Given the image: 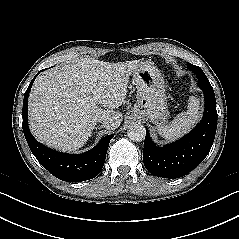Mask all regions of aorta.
Instances as JSON below:
<instances>
[{
  "label": "aorta",
  "instance_id": "762f6f07",
  "mask_svg": "<svg viewBox=\"0 0 239 239\" xmlns=\"http://www.w3.org/2000/svg\"><path fill=\"white\" fill-rule=\"evenodd\" d=\"M127 135L130 140L135 142H141L144 140L146 135L145 127L142 124L135 123L129 126L127 130Z\"/></svg>",
  "mask_w": 239,
  "mask_h": 239
}]
</instances>
